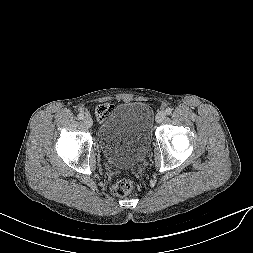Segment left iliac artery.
Here are the masks:
<instances>
[{"label": "left iliac artery", "mask_w": 253, "mask_h": 253, "mask_svg": "<svg viewBox=\"0 0 253 253\" xmlns=\"http://www.w3.org/2000/svg\"><path fill=\"white\" fill-rule=\"evenodd\" d=\"M172 110H173L172 108L168 107V108H166L165 113L167 115H170L172 113Z\"/></svg>", "instance_id": "44dca946"}]
</instances>
